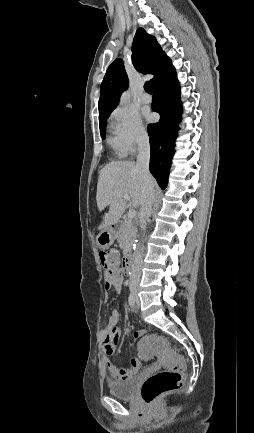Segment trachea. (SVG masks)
I'll return each mask as SVG.
<instances>
[{
    "mask_svg": "<svg viewBox=\"0 0 254 433\" xmlns=\"http://www.w3.org/2000/svg\"><path fill=\"white\" fill-rule=\"evenodd\" d=\"M144 89L147 93L152 94V85L149 81L144 84Z\"/></svg>",
    "mask_w": 254,
    "mask_h": 433,
    "instance_id": "1",
    "label": "trachea"
}]
</instances>
